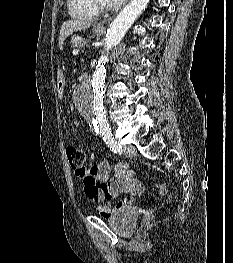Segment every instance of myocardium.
I'll return each mask as SVG.
<instances>
[{
  "label": "myocardium",
  "mask_w": 233,
  "mask_h": 263,
  "mask_svg": "<svg viewBox=\"0 0 233 263\" xmlns=\"http://www.w3.org/2000/svg\"><path fill=\"white\" fill-rule=\"evenodd\" d=\"M100 1H102V3H106V1H105V0H100Z\"/></svg>",
  "instance_id": "f54148a6"
}]
</instances>
